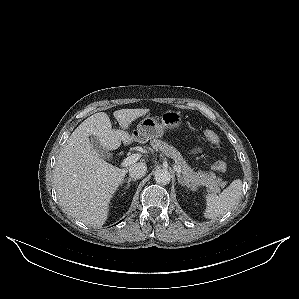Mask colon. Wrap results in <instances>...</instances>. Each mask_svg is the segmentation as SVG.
Listing matches in <instances>:
<instances>
[{"instance_id": "obj_1", "label": "colon", "mask_w": 299, "mask_h": 299, "mask_svg": "<svg viewBox=\"0 0 299 299\" xmlns=\"http://www.w3.org/2000/svg\"><path fill=\"white\" fill-rule=\"evenodd\" d=\"M204 137L207 141L216 146H219L221 144L220 137L212 130H206L204 132ZM212 168L216 171L223 172L227 168V163L225 160H219L213 164Z\"/></svg>"}]
</instances>
